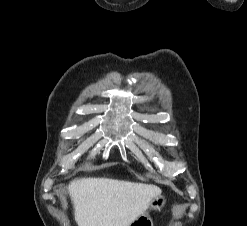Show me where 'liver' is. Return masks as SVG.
I'll list each match as a JSON object with an SVG mask.
<instances>
[{
	"label": "liver",
	"instance_id": "1",
	"mask_svg": "<svg viewBox=\"0 0 247 226\" xmlns=\"http://www.w3.org/2000/svg\"><path fill=\"white\" fill-rule=\"evenodd\" d=\"M68 192L78 226H129L161 193L155 185L107 178H81Z\"/></svg>",
	"mask_w": 247,
	"mask_h": 226
}]
</instances>
